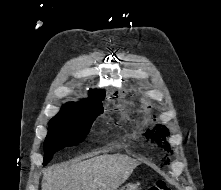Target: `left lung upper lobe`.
Listing matches in <instances>:
<instances>
[{
    "mask_svg": "<svg viewBox=\"0 0 221 190\" xmlns=\"http://www.w3.org/2000/svg\"><path fill=\"white\" fill-rule=\"evenodd\" d=\"M147 134V137H151L154 140H156V136L159 135V133H153V131H148Z\"/></svg>",
    "mask_w": 221,
    "mask_h": 190,
    "instance_id": "5c2ea615",
    "label": "left lung upper lobe"
}]
</instances>
